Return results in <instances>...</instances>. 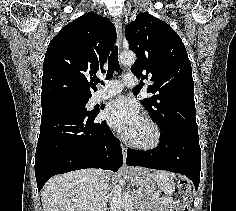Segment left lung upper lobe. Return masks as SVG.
<instances>
[{
  "mask_svg": "<svg viewBox=\"0 0 236 211\" xmlns=\"http://www.w3.org/2000/svg\"><path fill=\"white\" fill-rule=\"evenodd\" d=\"M126 34L137 55L131 71L153 81L147 89L151 96L141 101L152 120L162 132L198 131L192 68L179 35L149 13L138 14Z\"/></svg>",
  "mask_w": 236,
  "mask_h": 211,
  "instance_id": "left-lung-upper-lobe-1",
  "label": "left lung upper lobe"
}]
</instances>
